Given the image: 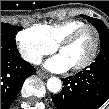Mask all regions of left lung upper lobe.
Returning a JSON list of instances; mask_svg holds the SVG:
<instances>
[{"mask_svg": "<svg viewBox=\"0 0 109 109\" xmlns=\"http://www.w3.org/2000/svg\"><path fill=\"white\" fill-rule=\"evenodd\" d=\"M81 16L91 22L98 30L101 41L100 50L109 48V29L106 27V25L99 19L92 18L86 15Z\"/></svg>", "mask_w": 109, "mask_h": 109, "instance_id": "obj_1", "label": "left lung upper lobe"}]
</instances>
